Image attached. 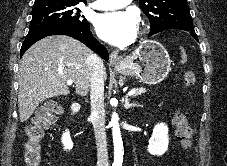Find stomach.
Instances as JSON below:
<instances>
[{
	"label": "stomach",
	"instance_id": "stomach-1",
	"mask_svg": "<svg viewBox=\"0 0 227 166\" xmlns=\"http://www.w3.org/2000/svg\"><path fill=\"white\" fill-rule=\"evenodd\" d=\"M114 67L123 75L136 76L143 83L155 85L167 77L171 70V59L161 43L149 40Z\"/></svg>",
	"mask_w": 227,
	"mask_h": 166
}]
</instances>
